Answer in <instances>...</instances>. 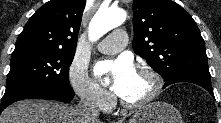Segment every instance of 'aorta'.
Segmentation results:
<instances>
[{
    "label": "aorta",
    "mask_w": 221,
    "mask_h": 123,
    "mask_svg": "<svg viewBox=\"0 0 221 123\" xmlns=\"http://www.w3.org/2000/svg\"><path fill=\"white\" fill-rule=\"evenodd\" d=\"M126 20L123 9H99L89 24V40L95 42L108 31L120 26ZM106 82L108 80L106 79Z\"/></svg>",
    "instance_id": "762f6f07"
}]
</instances>
